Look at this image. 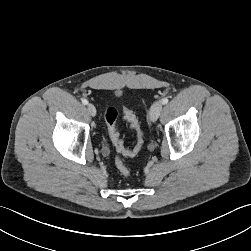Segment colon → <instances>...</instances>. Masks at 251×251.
<instances>
[{
  "instance_id": "1",
  "label": "colon",
  "mask_w": 251,
  "mask_h": 251,
  "mask_svg": "<svg viewBox=\"0 0 251 251\" xmlns=\"http://www.w3.org/2000/svg\"><path fill=\"white\" fill-rule=\"evenodd\" d=\"M124 118L129 123L130 128L135 132L136 143L132 148H127L121 140L119 133L116 130L115 123L117 120L118 112L114 107H109L105 113V120L108 125L109 136L111 141L118 152L125 156H135L142 148L143 132L140 128L139 122L135 114L128 108L123 110ZM115 166L119 173L124 177H129L131 172L127 165L120 157L115 158Z\"/></svg>"
}]
</instances>
